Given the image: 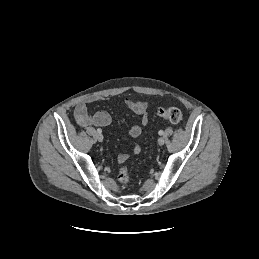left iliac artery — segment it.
Here are the masks:
<instances>
[{"label":"left iliac artery","mask_w":259,"mask_h":259,"mask_svg":"<svg viewBox=\"0 0 259 259\" xmlns=\"http://www.w3.org/2000/svg\"><path fill=\"white\" fill-rule=\"evenodd\" d=\"M158 133H159V135H163L164 132H163V130H160Z\"/></svg>","instance_id":"44dca946"}]
</instances>
